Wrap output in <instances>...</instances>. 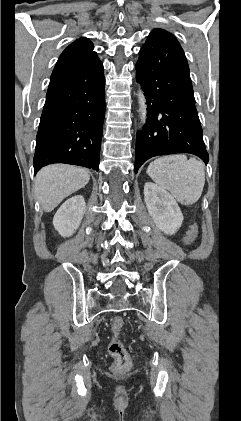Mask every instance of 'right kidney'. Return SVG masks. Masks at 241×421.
Instances as JSON below:
<instances>
[{"label":"right kidney","mask_w":241,"mask_h":421,"mask_svg":"<svg viewBox=\"0 0 241 421\" xmlns=\"http://www.w3.org/2000/svg\"><path fill=\"white\" fill-rule=\"evenodd\" d=\"M85 200L83 196H74L65 201L57 210L54 218V228L63 237L71 236L79 227L84 213Z\"/></svg>","instance_id":"ca27d5eb"}]
</instances>
